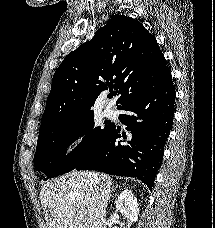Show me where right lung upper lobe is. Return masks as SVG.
Wrapping results in <instances>:
<instances>
[{"instance_id": "obj_1", "label": "right lung upper lobe", "mask_w": 215, "mask_h": 228, "mask_svg": "<svg viewBox=\"0 0 215 228\" xmlns=\"http://www.w3.org/2000/svg\"><path fill=\"white\" fill-rule=\"evenodd\" d=\"M170 75L155 37L139 21L114 15L55 71L40 128L93 115L95 100L112 84L121 105L138 83Z\"/></svg>"}]
</instances>
